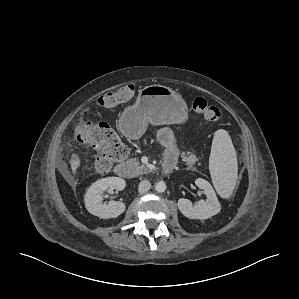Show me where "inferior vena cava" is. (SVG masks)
I'll use <instances>...</instances> for the list:
<instances>
[{
	"instance_id": "1",
	"label": "inferior vena cava",
	"mask_w": 299,
	"mask_h": 299,
	"mask_svg": "<svg viewBox=\"0 0 299 299\" xmlns=\"http://www.w3.org/2000/svg\"><path fill=\"white\" fill-rule=\"evenodd\" d=\"M151 188V183L148 180H143L139 183L138 191L140 194L146 193Z\"/></svg>"
}]
</instances>
